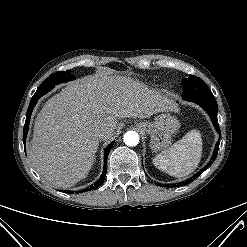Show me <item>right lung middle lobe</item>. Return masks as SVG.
Returning <instances> with one entry per match:
<instances>
[{
	"label": "right lung middle lobe",
	"instance_id": "right-lung-middle-lobe-1",
	"mask_svg": "<svg viewBox=\"0 0 247 247\" xmlns=\"http://www.w3.org/2000/svg\"><path fill=\"white\" fill-rule=\"evenodd\" d=\"M73 78V75L69 71H59L50 75L42 82L32 99L38 100L40 97L53 89L56 84L72 80Z\"/></svg>",
	"mask_w": 247,
	"mask_h": 247
}]
</instances>
